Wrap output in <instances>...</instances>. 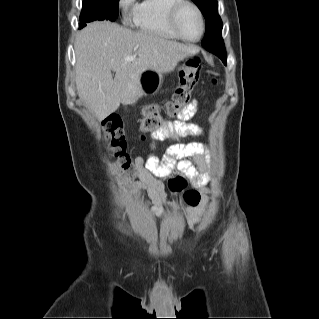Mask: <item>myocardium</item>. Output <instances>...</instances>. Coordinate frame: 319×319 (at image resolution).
<instances>
[{
  "label": "myocardium",
  "instance_id": "1",
  "mask_svg": "<svg viewBox=\"0 0 319 319\" xmlns=\"http://www.w3.org/2000/svg\"><path fill=\"white\" fill-rule=\"evenodd\" d=\"M187 6L194 9V11L196 12L197 17L199 19V23H200V33L196 38H193V39L187 38L184 35H182V33L180 32L178 25H177V20H178V16H179L180 12L183 10V8H185ZM167 21H168V26H169L170 30L172 31V33L177 38H179L183 41L198 42L203 37L204 31H205L203 13L200 10V8L194 2H192L190 0H177L169 9Z\"/></svg>",
  "mask_w": 319,
  "mask_h": 319
}]
</instances>
